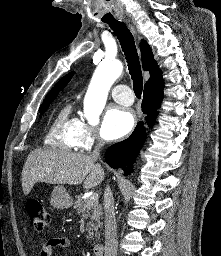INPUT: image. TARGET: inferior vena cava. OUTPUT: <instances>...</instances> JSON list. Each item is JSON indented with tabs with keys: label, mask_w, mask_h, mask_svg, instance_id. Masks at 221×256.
I'll use <instances>...</instances> for the list:
<instances>
[{
	"label": "inferior vena cava",
	"mask_w": 221,
	"mask_h": 256,
	"mask_svg": "<svg viewBox=\"0 0 221 256\" xmlns=\"http://www.w3.org/2000/svg\"><path fill=\"white\" fill-rule=\"evenodd\" d=\"M104 141L98 139L91 157L95 160L99 158L100 149ZM104 211H105V256H117V226L114 213V198L109 186L104 191Z\"/></svg>",
	"instance_id": "602c4592"
}]
</instances>
